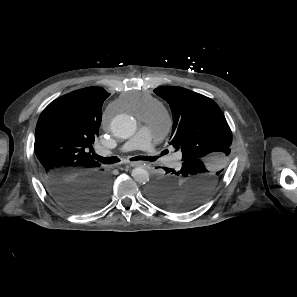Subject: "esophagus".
I'll use <instances>...</instances> for the list:
<instances>
[{"mask_svg":"<svg viewBox=\"0 0 297 297\" xmlns=\"http://www.w3.org/2000/svg\"><path fill=\"white\" fill-rule=\"evenodd\" d=\"M144 164L142 162H130L129 166L131 167H139V166H143Z\"/></svg>","mask_w":297,"mask_h":297,"instance_id":"esophagus-1","label":"esophagus"}]
</instances>
